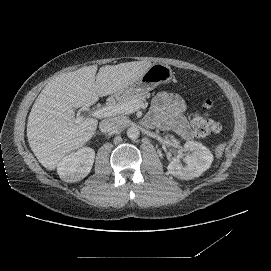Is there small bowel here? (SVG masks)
<instances>
[{"mask_svg":"<svg viewBox=\"0 0 271 271\" xmlns=\"http://www.w3.org/2000/svg\"><path fill=\"white\" fill-rule=\"evenodd\" d=\"M153 107L164 127L184 139L192 138L193 132L185 118L187 106L179 95L162 92L155 98Z\"/></svg>","mask_w":271,"mask_h":271,"instance_id":"obj_1","label":"small bowel"}]
</instances>
